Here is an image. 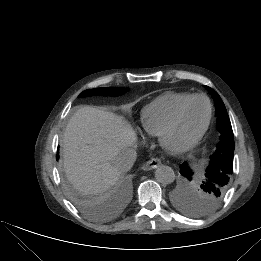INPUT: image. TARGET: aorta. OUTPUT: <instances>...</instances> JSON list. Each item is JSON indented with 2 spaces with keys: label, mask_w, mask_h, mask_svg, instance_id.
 Here are the masks:
<instances>
[{
  "label": "aorta",
  "mask_w": 261,
  "mask_h": 261,
  "mask_svg": "<svg viewBox=\"0 0 261 261\" xmlns=\"http://www.w3.org/2000/svg\"><path fill=\"white\" fill-rule=\"evenodd\" d=\"M155 178L161 184H170L175 180V173L171 167L161 165L155 171Z\"/></svg>",
  "instance_id": "aorta-1"
}]
</instances>
